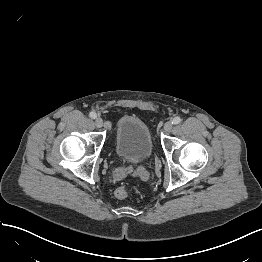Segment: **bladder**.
<instances>
[{
	"label": "bladder",
	"instance_id": "31cf9c89",
	"mask_svg": "<svg viewBox=\"0 0 262 262\" xmlns=\"http://www.w3.org/2000/svg\"><path fill=\"white\" fill-rule=\"evenodd\" d=\"M116 150L128 163L141 162L153 151V140L148 126L134 116L122 117L116 126Z\"/></svg>",
	"mask_w": 262,
	"mask_h": 262
}]
</instances>
